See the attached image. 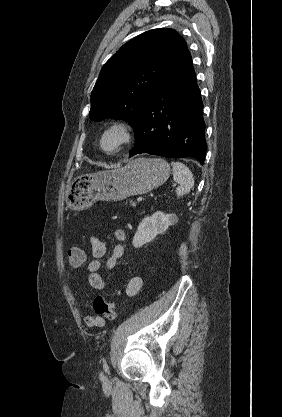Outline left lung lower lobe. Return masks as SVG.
I'll use <instances>...</instances> for the list:
<instances>
[{"mask_svg": "<svg viewBox=\"0 0 282 417\" xmlns=\"http://www.w3.org/2000/svg\"><path fill=\"white\" fill-rule=\"evenodd\" d=\"M138 114L130 157L149 153L192 157L204 163L203 103L188 50L171 66Z\"/></svg>", "mask_w": 282, "mask_h": 417, "instance_id": "0a47b994", "label": "left lung lower lobe"}]
</instances>
